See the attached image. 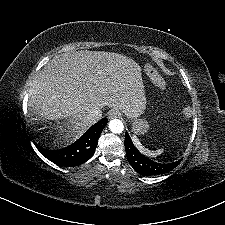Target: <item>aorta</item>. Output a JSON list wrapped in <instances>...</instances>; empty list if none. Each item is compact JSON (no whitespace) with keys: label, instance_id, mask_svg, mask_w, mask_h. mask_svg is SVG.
<instances>
[{"label":"aorta","instance_id":"762f6f07","mask_svg":"<svg viewBox=\"0 0 225 225\" xmlns=\"http://www.w3.org/2000/svg\"><path fill=\"white\" fill-rule=\"evenodd\" d=\"M109 129L115 133V134H119L122 133L124 130V125L122 123L121 120L119 119H112L109 122Z\"/></svg>","mask_w":225,"mask_h":225}]
</instances>
